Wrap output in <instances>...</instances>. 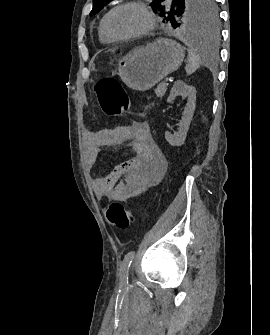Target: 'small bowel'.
I'll use <instances>...</instances> for the list:
<instances>
[{
	"mask_svg": "<svg viewBox=\"0 0 270 335\" xmlns=\"http://www.w3.org/2000/svg\"><path fill=\"white\" fill-rule=\"evenodd\" d=\"M120 141H131L135 156L119 164L112 172L93 180L95 193L109 200L127 202L157 184L166 169V159L156 146L146 122H134L116 131ZM102 131L87 135V163L96 164L105 145Z\"/></svg>",
	"mask_w": 270,
	"mask_h": 335,
	"instance_id": "1",
	"label": "small bowel"
}]
</instances>
